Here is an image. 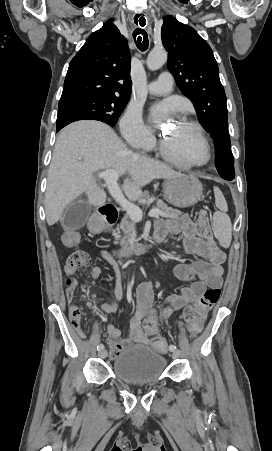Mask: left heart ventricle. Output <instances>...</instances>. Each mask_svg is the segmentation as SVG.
<instances>
[{"label":"left heart ventricle","instance_id":"left-heart-ventricle-1","mask_svg":"<svg viewBox=\"0 0 272 451\" xmlns=\"http://www.w3.org/2000/svg\"><path fill=\"white\" fill-rule=\"evenodd\" d=\"M173 151L183 160H199L202 157L201 150L195 133L184 124L177 122L174 129L166 138Z\"/></svg>","mask_w":272,"mask_h":451}]
</instances>
